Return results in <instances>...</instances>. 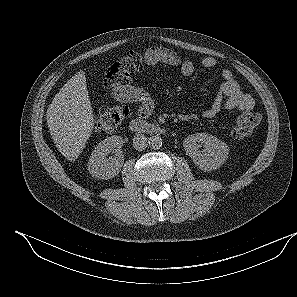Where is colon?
<instances>
[{
  "instance_id": "colon-1",
  "label": "colon",
  "mask_w": 297,
  "mask_h": 297,
  "mask_svg": "<svg viewBox=\"0 0 297 297\" xmlns=\"http://www.w3.org/2000/svg\"><path fill=\"white\" fill-rule=\"evenodd\" d=\"M143 66V56L138 52H128L125 56L112 63L103 77L104 86L113 88L124 84L128 77L140 70ZM127 115L123 106L103 108L95 121V130L98 133H107L116 130ZM261 122L260 114L247 112L240 115L234 122L231 135L234 139H243L251 135Z\"/></svg>"
}]
</instances>
